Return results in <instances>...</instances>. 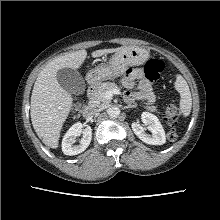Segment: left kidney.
Here are the masks:
<instances>
[{
    "label": "left kidney",
    "instance_id": "obj_1",
    "mask_svg": "<svg viewBox=\"0 0 220 220\" xmlns=\"http://www.w3.org/2000/svg\"><path fill=\"white\" fill-rule=\"evenodd\" d=\"M141 119L152 135L146 134L142 125L133 122L131 126L135 135L146 144L163 145L166 142V136L159 119L149 112H143Z\"/></svg>",
    "mask_w": 220,
    "mask_h": 220
}]
</instances>
